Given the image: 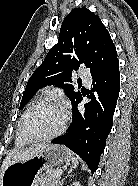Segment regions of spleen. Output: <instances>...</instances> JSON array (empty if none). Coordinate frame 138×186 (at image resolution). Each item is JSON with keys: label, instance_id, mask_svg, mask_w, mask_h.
Instances as JSON below:
<instances>
[{"label": "spleen", "instance_id": "3e777b00", "mask_svg": "<svg viewBox=\"0 0 138 186\" xmlns=\"http://www.w3.org/2000/svg\"><path fill=\"white\" fill-rule=\"evenodd\" d=\"M72 164H73V167L76 168L79 164L78 162V158L77 157H73L72 158Z\"/></svg>", "mask_w": 138, "mask_h": 186}]
</instances>
